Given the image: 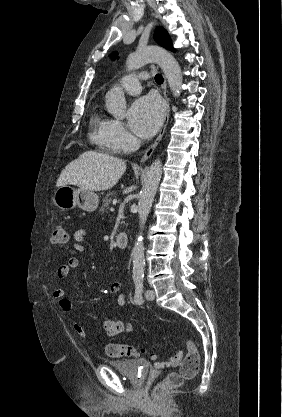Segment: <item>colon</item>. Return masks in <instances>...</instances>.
Segmentation results:
<instances>
[{
    "label": "colon",
    "instance_id": "obj_1",
    "mask_svg": "<svg viewBox=\"0 0 282 417\" xmlns=\"http://www.w3.org/2000/svg\"><path fill=\"white\" fill-rule=\"evenodd\" d=\"M69 236L64 226L55 225L50 234V243L55 247L65 246L68 242ZM185 347L187 358L184 359L181 369L177 373L168 374L164 379H159L158 384L153 385V389H149L148 396L150 403H165V393H170L171 388L175 389L181 386L183 380L192 378L199 370L200 354L195 343L187 339L185 340ZM174 354L167 357L165 360H159L157 356L153 359L160 367H176L179 364L178 360L182 357L180 349H175ZM106 356H130L138 357L140 352L138 348L130 345L125 347H106Z\"/></svg>",
    "mask_w": 282,
    "mask_h": 417
}]
</instances>
